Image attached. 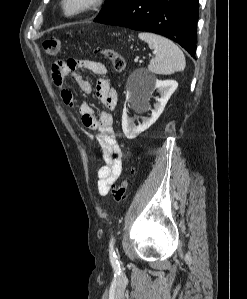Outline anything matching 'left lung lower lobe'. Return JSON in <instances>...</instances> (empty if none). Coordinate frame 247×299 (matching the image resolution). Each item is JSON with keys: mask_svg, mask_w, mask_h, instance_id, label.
Wrapping results in <instances>:
<instances>
[{"mask_svg": "<svg viewBox=\"0 0 247 299\" xmlns=\"http://www.w3.org/2000/svg\"><path fill=\"white\" fill-rule=\"evenodd\" d=\"M198 0H124L97 22L163 35L196 54Z\"/></svg>", "mask_w": 247, "mask_h": 299, "instance_id": "1", "label": "left lung lower lobe"}]
</instances>
